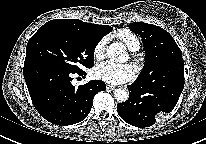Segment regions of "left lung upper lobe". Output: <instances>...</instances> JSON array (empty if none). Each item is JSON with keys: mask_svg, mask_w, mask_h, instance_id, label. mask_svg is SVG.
<instances>
[{"mask_svg": "<svg viewBox=\"0 0 206 144\" xmlns=\"http://www.w3.org/2000/svg\"><path fill=\"white\" fill-rule=\"evenodd\" d=\"M129 28L142 38L146 53L144 68L136 83L148 87L184 76L181 50L166 30L142 22L130 23Z\"/></svg>", "mask_w": 206, "mask_h": 144, "instance_id": "1", "label": "left lung upper lobe"}]
</instances>
